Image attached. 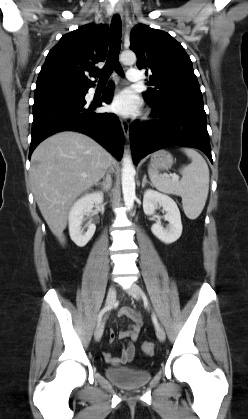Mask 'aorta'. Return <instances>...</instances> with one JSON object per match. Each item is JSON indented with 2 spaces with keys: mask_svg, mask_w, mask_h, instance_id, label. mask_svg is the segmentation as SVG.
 Wrapping results in <instances>:
<instances>
[{
  "mask_svg": "<svg viewBox=\"0 0 248 419\" xmlns=\"http://www.w3.org/2000/svg\"><path fill=\"white\" fill-rule=\"evenodd\" d=\"M120 60L125 65H132L136 62V55L132 51H124L120 55ZM122 192L127 208H133L135 200V169L131 156L126 153L122 159Z\"/></svg>",
  "mask_w": 248,
  "mask_h": 419,
  "instance_id": "obj_1",
  "label": "aorta"
}]
</instances>
